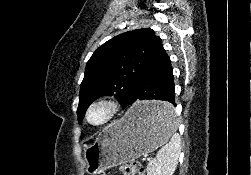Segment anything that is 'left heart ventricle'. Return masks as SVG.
I'll return each mask as SVG.
<instances>
[{
  "label": "left heart ventricle",
  "mask_w": 251,
  "mask_h": 175,
  "mask_svg": "<svg viewBox=\"0 0 251 175\" xmlns=\"http://www.w3.org/2000/svg\"><path fill=\"white\" fill-rule=\"evenodd\" d=\"M111 110L106 105H96L90 112V120L94 124H101L105 122L110 116Z\"/></svg>",
  "instance_id": "b2bd125f"
}]
</instances>
